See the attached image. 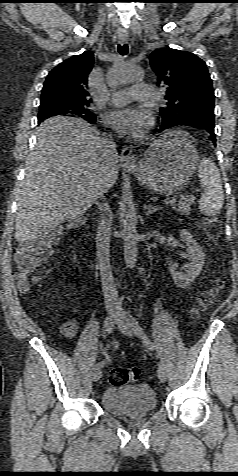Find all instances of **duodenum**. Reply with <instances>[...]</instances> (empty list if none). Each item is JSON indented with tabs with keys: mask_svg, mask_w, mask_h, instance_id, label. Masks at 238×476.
I'll return each mask as SVG.
<instances>
[{
	"mask_svg": "<svg viewBox=\"0 0 238 476\" xmlns=\"http://www.w3.org/2000/svg\"><path fill=\"white\" fill-rule=\"evenodd\" d=\"M84 224H85L84 218H76L69 223L68 229L73 235H76L81 231ZM89 265L91 268L95 267V261L92 258L89 259Z\"/></svg>",
	"mask_w": 238,
	"mask_h": 476,
	"instance_id": "1",
	"label": "duodenum"
}]
</instances>
